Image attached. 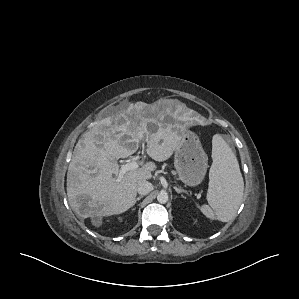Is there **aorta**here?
Returning a JSON list of instances; mask_svg holds the SVG:
<instances>
[{"label": "aorta", "mask_w": 299, "mask_h": 299, "mask_svg": "<svg viewBox=\"0 0 299 299\" xmlns=\"http://www.w3.org/2000/svg\"><path fill=\"white\" fill-rule=\"evenodd\" d=\"M168 193L166 191H161L157 195V201L161 204H165L168 201Z\"/></svg>", "instance_id": "aorta-1"}]
</instances>
